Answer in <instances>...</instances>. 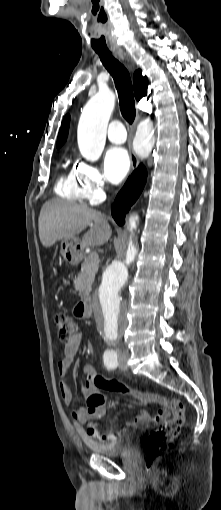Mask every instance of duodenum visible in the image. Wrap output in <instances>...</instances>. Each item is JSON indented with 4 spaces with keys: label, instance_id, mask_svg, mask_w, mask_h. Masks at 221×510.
<instances>
[{
    "label": "duodenum",
    "instance_id": "410a0bca",
    "mask_svg": "<svg viewBox=\"0 0 221 510\" xmlns=\"http://www.w3.org/2000/svg\"><path fill=\"white\" fill-rule=\"evenodd\" d=\"M78 313L86 318H90L92 315V301L85 300L77 305Z\"/></svg>",
    "mask_w": 221,
    "mask_h": 510
}]
</instances>
